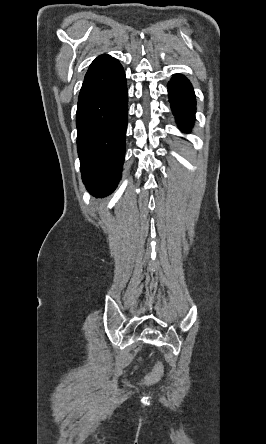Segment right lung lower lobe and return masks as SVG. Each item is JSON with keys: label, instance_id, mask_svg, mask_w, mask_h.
Segmentation results:
<instances>
[{"label": "right lung lower lobe", "instance_id": "98d812e1", "mask_svg": "<svg viewBox=\"0 0 266 444\" xmlns=\"http://www.w3.org/2000/svg\"><path fill=\"white\" fill-rule=\"evenodd\" d=\"M127 114L125 72L112 58L84 79L76 113L82 179L96 197L110 194L121 178Z\"/></svg>", "mask_w": 266, "mask_h": 444}]
</instances>
